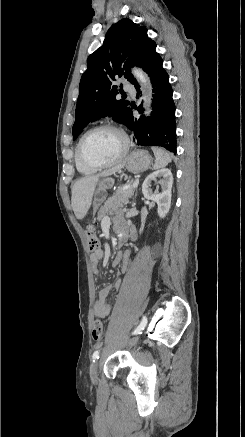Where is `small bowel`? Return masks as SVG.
I'll return each mask as SVG.
<instances>
[{
  "label": "small bowel",
  "mask_w": 245,
  "mask_h": 437,
  "mask_svg": "<svg viewBox=\"0 0 245 437\" xmlns=\"http://www.w3.org/2000/svg\"><path fill=\"white\" fill-rule=\"evenodd\" d=\"M118 229L120 232H123L126 239H134L135 238V231L132 227H129L123 223H121L119 220L116 222ZM132 251L127 250L124 253H118L116 257L113 260V264L117 265L122 261V271L125 272L128 268L129 260L131 258ZM103 257V251L101 249H97L92 255H91V263L92 266L96 269L99 265V262L101 258ZM97 273V271L95 270ZM119 280L114 281L112 284L106 285L102 287L99 292L97 299L94 303L93 311L94 314L97 317L100 318H106L109 316L111 308L108 303V296L110 292L113 289H117L119 287Z\"/></svg>",
  "instance_id": "obj_1"
}]
</instances>
